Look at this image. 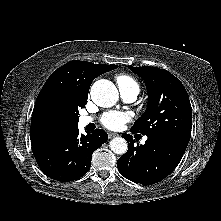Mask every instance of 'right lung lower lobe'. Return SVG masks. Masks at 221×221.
Instances as JSON below:
<instances>
[{"mask_svg":"<svg viewBox=\"0 0 221 221\" xmlns=\"http://www.w3.org/2000/svg\"><path fill=\"white\" fill-rule=\"evenodd\" d=\"M108 139L102 129L79 134L71 128L48 142L32 147L42 172L55 180L68 182L84 176L90 169L92 153Z\"/></svg>","mask_w":221,"mask_h":221,"instance_id":"98d812e1","label":"right lung lower lobe"}]
</instances>
